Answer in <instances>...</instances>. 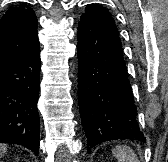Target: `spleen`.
Here are the masks:
<instances>
[{"mask_svg":"<svg viewBox=\"0 0 168 162\" xmlns=\"http://www.w3.org/2000/svg\"><path fill=\"white\" fill-rule=\"evenodd\" d=\"M112 153L118 162H139L135 152L128 146H116Z\"/></svg>","mask_w":168,"mask_h":162,"instance_id":"1","label":"spleen"}]
</instances>
